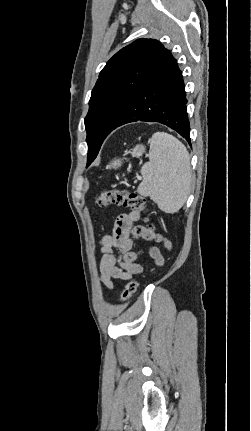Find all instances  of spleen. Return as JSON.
I'll use <instances>...</instances> for the list:
<instances>
[{
    "mask_svg": "<svg viewBox=\"0 0 251 431\" xmlns=\"http://www.w3.org/2000/svg\"><path fill=\"white\" fill-rule=\"evenodd\" d=\"M140 173L137 192L149 196L166 213H176L186 202L192 181L190 156L171 134L156 132L150 141L149 162Z\"/></svg>",
    "mask_w": 251,
    "mask_h": 431,
    "instance_id": "spleen-1",
    "label": "spleen"
}]
</instances>
